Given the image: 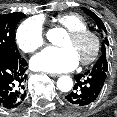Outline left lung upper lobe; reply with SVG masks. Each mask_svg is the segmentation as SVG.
Here are the masks:
<instances>
[{
    "instance_id": "5c2ea615",
    "label": "left lung upper lobe",
    "mask_w": 117,
    "mask_h": 117,
    "mask_svg": "<svg viewBox=\"0 0 117 117\" xmlns=\"http://www.w3.org/2000/svg\"><path fill=\"white\" fill-rule=\"evenodd\" d=\"M83 10L97 23L99 28L106 30L105 26L103 25L101 19L96 16L92 11L83 8ZM106 45H108V40L105 39L104 43L102 44V54L99 60L96 62V64L93 66L92 69H97V70H102L105 72H108V62H107V57H106Z\"/></svg>"
}]
</instances>
